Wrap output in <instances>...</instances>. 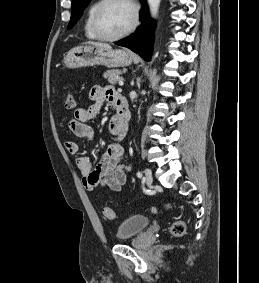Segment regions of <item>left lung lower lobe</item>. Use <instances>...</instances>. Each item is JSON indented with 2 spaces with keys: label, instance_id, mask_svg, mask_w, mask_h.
I'll return each instance as SVG.
<instances>
[{
  "label": "left lung lower lobe",
  "instance_id": "0a47b994",
  "mask_svg": "<svg viewBox=\"0 0 259 283\" xmlns=\"http://www.w3.org/2000/svg\"><path fill=\"white\" fill-rule=\"evenodd\" d=\"M140 1L143 4V11L141 12L142 25L128 38L116 42V45L127 47L148 61L151 57L155 22L149 17L146 1Z\"/></svg>",
  "mask_w": 259,
  "mask_h": 283
}]
</instances>
